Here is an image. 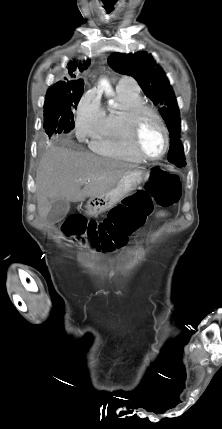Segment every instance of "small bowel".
<instances>
[{
    "mask_svg": "<svg viewBox=\"0 0 222 429\" xmlns=\"http://www.w3.org/2000/svg\"><path fill=\"white\" fill-rule=\"evenodd\" d=\"M159 215H160V216H164V215H165V212H161V213H159Z\"/></svg>",
    "mask_w": 222,
    "mask_h": 429,
    "instance_id": "1",
    "label": "small bowel"
}]
</instances>
